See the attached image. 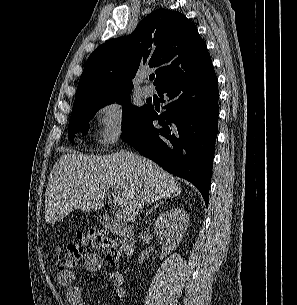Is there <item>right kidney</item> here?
I'll return each instance as SVG.
<instances>
[{"mask_svg": "<svg viewBox=\"0 0 297 305\" xmlns=\"http://www.w3.org/2000/svg\"><path fill=\"white\" fill-rule=\"evenodd\" d=\"M189 225V217L182 208H173L160 214L155 222V231L162 241V260L180 243Z\"/></svg>", "mask_w": 297, "mask_h": 305, "instance_id": "ca27d5eb", "label": "right kidney"}]
</instances>
